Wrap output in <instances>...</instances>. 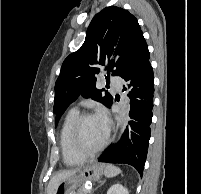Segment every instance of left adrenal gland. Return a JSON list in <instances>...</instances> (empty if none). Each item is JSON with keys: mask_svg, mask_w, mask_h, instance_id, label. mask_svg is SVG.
Returning a JSON list of instances; mask_svg holds the SVG:
<instances>
[{"mask_svg": "<svg viewBox=\"0 0 201 194\" xmlns=\"http://www.w3.org/2000/svg\"><path fill=\"white\" fill-rule=\"evenodd\" d=\"M105 183V181H103L98 187H100L101 185H103Z\"/></svg>", "mask_w": 201, "mask_h": 194, "instance_id": "a2214340", "label": "left adrenal gland"}]
</instances>
